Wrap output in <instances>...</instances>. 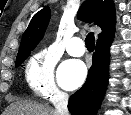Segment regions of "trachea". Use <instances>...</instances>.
Instances as JSON below:
<instances>
[{
  "label": "trachea",
  "instance_id": "trachea-1",
  "mask_svg": "<svg viewBox=\"0 0 131 115\" xmlns=\"http://www.w3.org/2000/svg\"><path fill=\"white\" fill-rule=\"evenodd\" d=\"M94 41H95L94 33L90 32L85 38V45H86L87 49L94 50V47H95Z\"/></svg>",
  "mask_w": 131,
  "mask_h": 115
}]
</instances>
